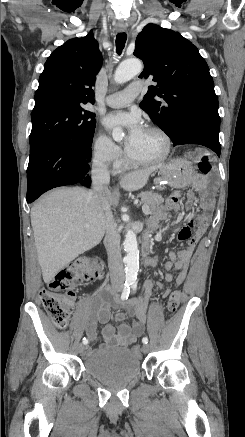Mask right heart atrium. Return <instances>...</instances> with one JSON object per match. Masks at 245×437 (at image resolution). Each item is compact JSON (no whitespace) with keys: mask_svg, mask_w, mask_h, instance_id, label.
I'll list each match as a JSON object with an SVG mask.
<instances>
[{"mask_svg":"<svg viewBox=\"0 0 245 437\" xmlns=\"http://www.w3.org/2000/svg\"><path fill=\"white\" fill-rule=\"evenodd\" d=\"M91 154L94 163L103 168L115 167L122 161L120 148L101 131L92 138Z\"/></svg>","mask_w":245,"mask_h":437,"instance_id":"d8ad5b80","label":"right heart atrium"}]
</instances>
